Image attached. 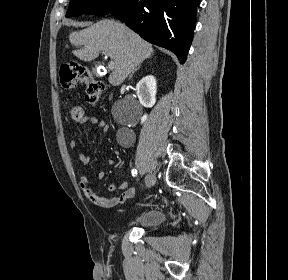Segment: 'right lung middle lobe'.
I'll return each mask as SVG.
<instances>
[{
    "label": "right lung middle lobe",
    "instance_id": "dd1d6c3e",
    "mask_svg": "<svg viewBox=\"0 0 288 280\" xmlns=\"http://www.w3.org/2000/svg\"><path fill=\"white\" fill-rule=\"evenodd\" d=\"M126 0H71L66 17L82 14L104 16L107 12L123 4Z\"/></svg>",
    "mask_w": 288,
    "mask_h": 280
}]
</instances>
